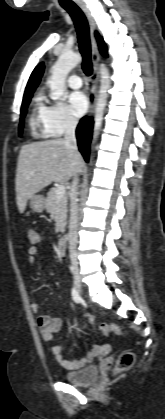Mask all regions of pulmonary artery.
Returning <instances> with one entry per match:
<instances>
[{
    "mask_svg": "<svg viewBox=\"0 0 165 419\" xmlns=\"http://www.w3.org/2000/svg\"><path fill=\"white\" fill-rule=\"evenodd\" d=\"M67 82L68 85L73 89H78L82 86V79L76 74L71 75Z\"/></svg>",
    "mask_w": 165,
    "mask_h": 419,
    "instance_id": "e3ab8cb5",
    "label": "pulmonary artery"
}]
</instances>
